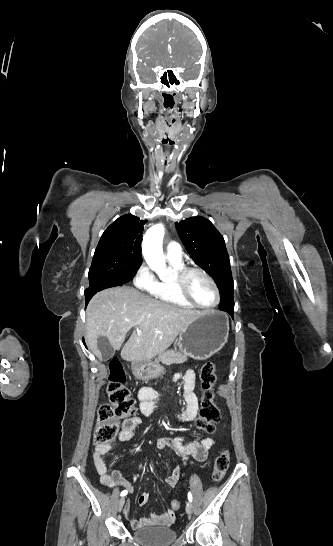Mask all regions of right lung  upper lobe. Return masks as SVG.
I'll list each match as a JSON object with an SVG mask.
<instances>
[{
  "instance_id": "cb5924a9",
  "label": "right lung upper lobe",
  "mask_w": 333,
  "mask_h": 546,
  "mask_svg": "<svg viewBox=\"0 0 333 546\" xmlns=\"http://www.w3.org/2000/svg\"><path fill=\"white\" fill-rule=\"evenodd\" d=\"M146 220L134 215L116 219L102 234L95 253L114 252L129 256L133 264L140 266L141 241Z\"/></svg>"
}]
</instances>
